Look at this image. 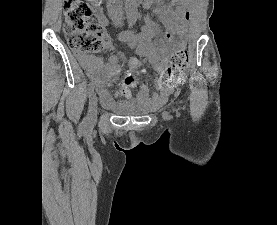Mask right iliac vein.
<instances>
[{"label":"right iliac vein","mask_w":277,"mask_h":225,"mask_svg":"<svg viewBox=\"0 0 277 225\" xmlns=\"http://www.w3.org/2000/svg\"><path fill=\"white\" fill-rule=\"evenodd\" d=\"M97 116V96L92 94L89 101V117L95 119Z\"/></svg>","instance_id":"1"}]
</instances>
